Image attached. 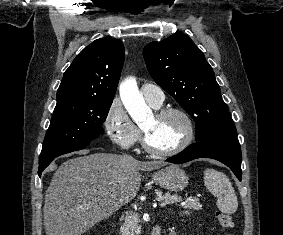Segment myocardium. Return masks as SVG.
Wrapping results in <instances>:
<instances>
[{"instance_id":"f54148a6","label":"myocardium","mask_w":283,"mask_h":235,"mask_svg":"<svg viewBox=\"0 0 283 235\" xmlns=\"http://www.w3.org/2000/svg\"><path fill=\"white\" fill-rule=\"evenodd\" d=\"M169 114H176L183 119V121L185 123V127H186L185 135H184L183 139L181 140V142L177 146H175L174 148H172L170 150H158V149H155L151 146V144L149 143V140H148L147 133L142 128V146H143L144 150L151 155H154V156H157V157L175 156V155L181 153L182 151H184L185 149H187L194 140L195 125H194V122H193L191 116L185 110L178 108V107H163V108H159L158 110H156L154 115L157 118H162V117H165Z\"/></svg>"}]
</instances>
